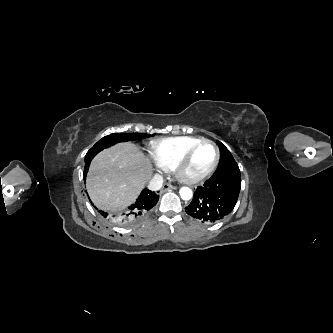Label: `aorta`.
<instances>
[{
  "instance_id": "1",
  "label": "aorta",
  "mask_w": 333,
  "mask_h": 333,
  "mask_svg": "<svg viewBox=\"0 0 333 333\" xmlns=\"http://www.w3.org/2000/svg\"><path fill=\"white\" fill-rule=\"evenodd\" d=\"M192 190L188 187H182L180 189V196L183 200H190L192 198Z\"/></svg>"
}]
</instances>
